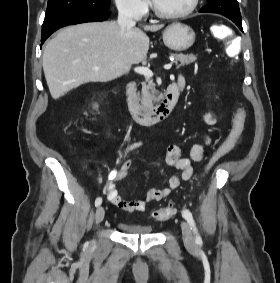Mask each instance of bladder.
Returning <instances> with one entry per match:
<instances>
[{
    "mask_svg": "<svg viewBox=\"0 0 280 283\" xmlns=\"http://www.w3.org/2000/svg\"><path fill=\"white\" fill-rule=\"evenodd\" d=\"M118 229L127 235H151L153 227L150 225L132 224L119 222Z\"/></svg>",
    "mask_w": 280,
    "mask_h": 283,
    "instance_id": "31cf9c89",
    "label": "bladder"
}]
</instances>
